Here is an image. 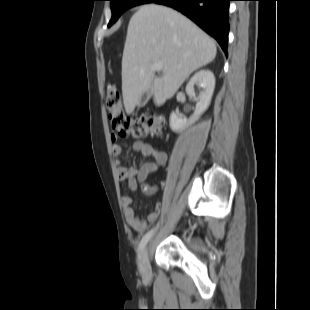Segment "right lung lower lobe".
<instances>
[{
    "instance_id": "obj_1",
    "label": "right lung lower lobe",
    "mask_w": 310,
    "mask_h": 310,
    "mask_svg": "<svg viewBox=\"0 0 310 310\" xmlns=\"http://www.w3.org/2000/svg\"><path fill=\"white\" fill-rule=\"evenodd\" d=\"M232 0H151L172 7L214 37L227 55L229 3Z\"/></svg>"
}]
</instances>
